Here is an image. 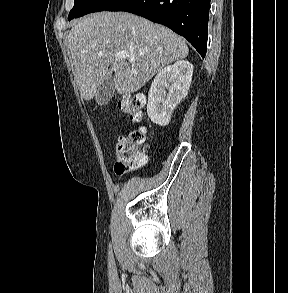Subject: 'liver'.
Instances as JSON below:
<instances>
[{
	"mask_svg": "<svg viewBox=\"0 0 288 293\" xmlns=\"http://www.w3.org/2000/svg\"><path fill=\"white\" fill-rule=\"evenodd\" d=\"M68 46L75 81L87 101L113 73L117 93L128 95L189 53L184 40L169 28L127 12L85 16L70 30ZM121 52H129L135 59L118 57Z\"/></svg>",
	"mask_w": 288,
	"mask_h": 293,
	"instance_id": "liver-1",
	"label": "liver"
}]
</instances>
